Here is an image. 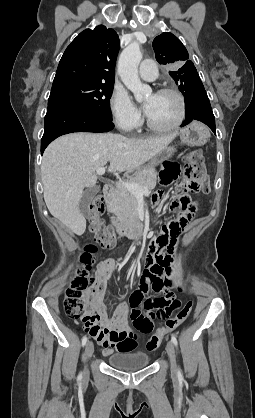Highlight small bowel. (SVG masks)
<instances>
[{"label": "small bowel", "instance_id": "obj_1", "mask_svg": "<svg viewBox=\"0 0 255 418\" xmlns=\"http://www.w3.org/2000/svg\"><path fill=\"white\" fill-rule=\"evenodd\" d=\"M179 167L174 162H167L161 171V182L170 183L176 178ZM180 222V227L174 233L173 227H162L161 236L147 240L144 254L146 268L141 279V288L136 291L131 299L130 305L120 306L117 313L109 317L106 308L93 300L89 306L88 313L97 315V327L86 331L103 348L104 355H110L114 351L128 352L137 346L138 335L133 327L141 333H149L152 330V320L158 317L161 320H170L173 314L182 307V293L171 291L172 280L168 278L171 273V263L176 253L175 248L179 247L176 241L179 234L186 228L189 221ZM116 267L113 259H105L99 265L98 282L93 288L94 295H100L105 279ZM151 288L155 292H164L162 296L148 298L144 301V307L149 315L142 314L137 306L143 300L144 294ZM182 289V288H180ZM132 309V312H131ZM131 312L133 327L128 323L127 316ZM101 324V325H100Z\"/></svg>", "mask_w": 255, "mask_h": 418}]
</instances>
